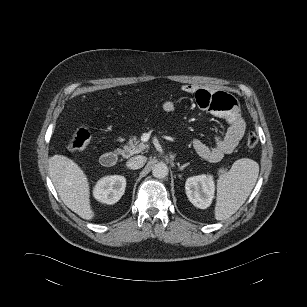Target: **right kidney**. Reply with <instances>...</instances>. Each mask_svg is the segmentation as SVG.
I'll return each instance as SVG.
<instances>
[{"instance_id":"ca27d5eb","label":"right kidney","mask_w":307,"mask_h":307,"mask_svg":"<svg viewBox=\"0 0 307 307\" xmlns=\"http://www.w3.org/2000/svg\"><path fill=\"white\" fill-rule=\"evenodd\" d=\"M126 179L124 176L111 175L101 178L95 185L93 195L104 204H115L125 192Z\"/></svg>"}]
</instances>
